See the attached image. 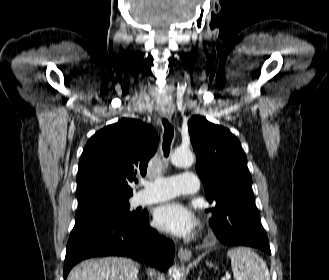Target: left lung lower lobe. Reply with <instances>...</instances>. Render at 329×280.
<instances>
[{"label":"left lung lower lobe","instance_id":"0a47b994","mask_svg":"<svg viewBox=\"0 0 329 280\" xmlns=\"http://www.w3.org/2000/svg\"><path fill=\"white\" fill-rule=\"evenodd\" d=\"M218 239L231 246H250L271 254L266 232L259 220V212L252 199L238 204L233 214L226 217Z\"/></svg>","mask_w":329,"mask_h":280}]
</instances>
